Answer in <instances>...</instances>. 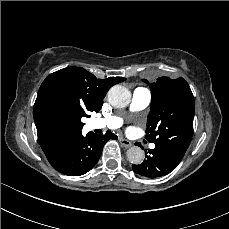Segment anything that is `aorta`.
Here are the masks:
<instances>
[{
	"label": "aorta",
	"instance_id": "aorta-1",
	"mask_svg": "<svg viewBox=\"0 0 229 229\" xmlns=\"http://www.w3.org/2000/svg\"><path fill=\"white\" fill-rule=\"evenodd\" d=\"M108 101L115 108H124L131 101V92L124 86L114 85L108 91ZM130 163L139 165L144 161L145 154L142 148L132 146L127 150Z\"/></svg>",
	"mask_w": 229,
	"mask_h": 229
}]
</instances>
